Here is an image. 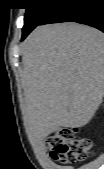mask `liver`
Returning a JSON list of instances; mask_svg holds the SVG:
<instances>
[{
    "instance_id": "1",
    "label": "liver",
    "mask_w": 104,
    "mask_h": 169,
    "mask_svg": "<svg viewBox=\"0 0 104 169\" xmlns=\"http://www.w3.org/2000/svg\"><path fill=\"white\" fill-rule=\"evenodd\" d=\"M27 125L41 140L63 127L79 128L104 94V35L77 23L37 27L22 44Z\"/></svg>"
}]
</instances>
